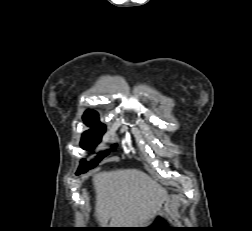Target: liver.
<instances>
[{"label": "liver", "instance_id": "liver-1", "mask_svg": "<svg viewBox=\"0 0 252 231\" xmlns=\"http://www.w3.org/2000/svg\"><path fill=\"white\" fill-rule=\"evenodd\" d=\"M95 216L102 227L138 228L146 224L166 198V190L137 169L99 172L93 176Z\"/></svg>", "mask_w": 252, "mask_h": 231}]
</instances>
